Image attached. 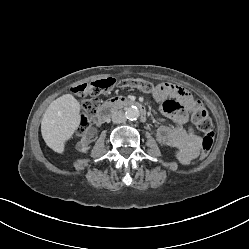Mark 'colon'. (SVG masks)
Instances as JSON below:
<instances>
[{
  "label": "colon",
  "instance_id": "colon-1",
  "mask_svg": "<svg viewBox=\"0 0 249 249\" xmlns=\"http://www.w3.org/2000/svg\"><path fill=\"white\" fill-rule=\"evenodd\" d=\"M116 82L113 79H101L87 83H80L72 88V92L86 98L83 104V113L80 116L78 135H83L89 129L93 119L98 112V96L106 93ZM122 88H137L145 93L159 94V89L151 82L141 78H126L118 82ZM194 121L203 133L202 156L209 153L214 141V130L212 119L205 107L199 104L194 113Z\"/></svg>",
  "mask_w": 249,
  "mask_h": 249
}]
</instances>
